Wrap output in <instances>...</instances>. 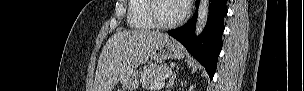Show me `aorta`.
<instances>
[{
  "label": "aorta",
  "instance_id": "aorta-1",
  "mask_svg": "<svg viewBox=\"0 0 304 91\" xmlns=\"http://www.w3.org/2000/svg\"><path fill=\"white\" fill-rule=\"evenodd\" d=\"M209 0H200L198 8V16L196 21L195 34L196 36L200 35L208 21L209 15Z\"/></svg>",
  "mask_w": 304,
  "mask_h": 91
}]
</instances>
